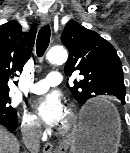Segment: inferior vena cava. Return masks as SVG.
I'll return each instance as SVG.
<instances>
[{
  "label": "inferior vena cava",
  "mask_w": 130,
  "mask_h": 153,
  "mask_svg": "<svg viewBox=\"0 0 130 153\" xmlns=\"http://www.w3.org/2000/svg\"><path fill=\"white\" fill-rule=\"evenodd\" d=\"M23 142L30 153H38L40 139L42 135L41 124L39 122L26 124L21 128Z\"/></svg>",
  "instance_id": "1"
}]
</instances>
